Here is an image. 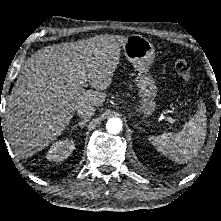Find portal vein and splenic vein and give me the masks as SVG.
Here are the masks:
<instances>
[{
  "label": "portal vein and splenic vein",
  "mask_w": 221,
  "mask_h": 221,
  "mask_svg": "<svg viewBox=\"0 0 221 221\" xmlns=\"http://www.w3.org/2000/svg\"><path fill=\"white\" fill-rule=\"evenodd\" d=\"M82 79H83V84H85L86 83V74H85V71H83L82 73ZM166 120L169 122V123H171V124H174L175 123V120L173 119V118H171V117H166Z\"/></svg>",
  "instance_id": "1"
}]
</instances>
